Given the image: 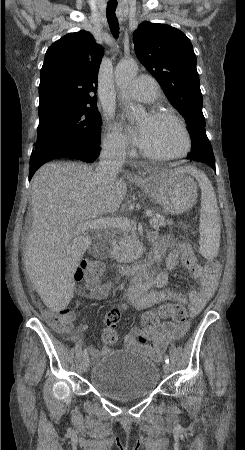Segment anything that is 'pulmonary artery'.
<instances>
[{
	"instance_id": "obj_1",
	"label": "pulmonary artery",
	"mask_w": 245,
	"mask_h": 450,
	"mask_svg": "<svg viewBox=\"0 0 245 450\" xmlns=\"http://www.w3.org/2000/svg\"><path fill=\"white\" fill-rule=\"evenodd\" d=\"M125 93L134 100L153 102L160 95V89L152 76L145 75L134 79L126 87Z\"/></svg>"
}]
</instances>
